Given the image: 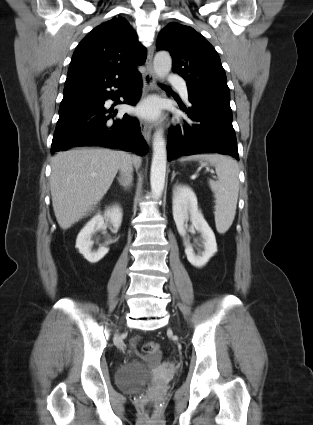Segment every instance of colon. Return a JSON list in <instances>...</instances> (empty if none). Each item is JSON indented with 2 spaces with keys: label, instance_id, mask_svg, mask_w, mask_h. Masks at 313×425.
Returning <instances> with one entry per match:
<instances>
[{
  "label": "colon",
  "instance_id": "colon-1",
  "mask_svg": "<svg viewBox=\"0 0 313 425\" xmlns=\"http://www.w3.org/2000/svg\"><path fill=\"white\" fill-rule=\"evenodd\" d=\"M141 351L145 354H153L159 351V345L155 342H146L142 345Z\"/></svg>",
  "mask_w": 313,
  "mask_h": 425
}]
</instances>
